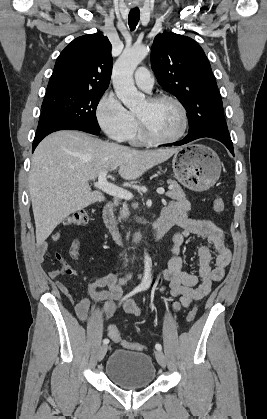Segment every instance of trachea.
<instances>
[{
	"label": "trachea",
	"mask_w": 267,
	"mask_h": 419,
	"mask_svg": "<svg viewBox=\"0 0 267 419\" xmlns=\"http://www.w3.org/2000/svg\"><path fill=\"white\" fill-rule=\"evenodd\" d=\"M139 20H140L139 8L136 7V8L131 9L128 16V24L131 31L135 30Z\"/></svg>",
	"instance_id": "trachea-1"
}]
</instances>
